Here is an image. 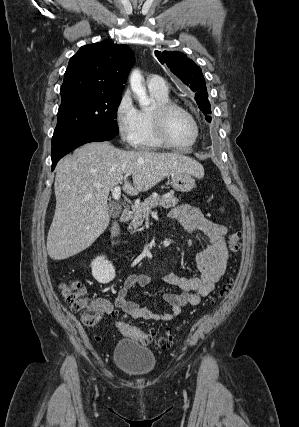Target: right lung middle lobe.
Returning <instances> with one entry per match:
<instances>
[{
	"instance_id": "dd1d6c3e",
	"label": "right lung middle lobe",
	"mask_w": 299,
	"mask_h": 427,
	"mask_svg": "<svg viewBox=\"0 0 299 427\" xmlns=\"http://www.w3.org/2000/svg\"><path fill=\"white\" fill-rule=\"evenodd\" d=\"M121 95L82 93L62 99L52 144L75 135H117Z\"/></svg>"
}]
</instances>
